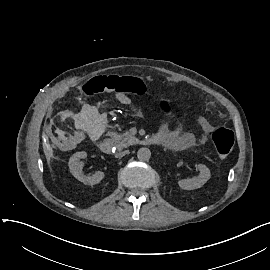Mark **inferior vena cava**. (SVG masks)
I'll list each match as a JSON object with an SVG mask.
<instances>
[{"label":"inferior vena cava","mask_w":270,"mask_h":270,"mask_svg":"<svg viewBox=\"0 0 270 270\" xmlns=\"http://www.w3.org/2000/svg\"><path fill=\"white\" fill-rule=\"evenodd\" d=\"M128 153H129V151L126 150V151H123V152H121V153H118L117 156H118V157H123L124 155H126V154H128Z\"/></svg>","instance_id":"obj_1"}]
</instances>
